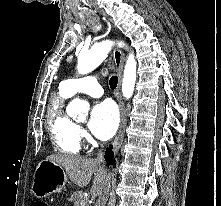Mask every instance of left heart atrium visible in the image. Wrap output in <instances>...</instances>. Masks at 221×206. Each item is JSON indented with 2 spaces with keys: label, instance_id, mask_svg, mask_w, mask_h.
<instances>
[{
  "label": "left heart atrium",
  "instance_id": "left-heart-atrium-1",
  "mask_svg": "<svg viewBox=\"0 0 221 206\" xmlns=\"http://www.w3.org/2000/svg\"><path fill=\"white\" fill-rule=\"evenodd\" d=\"M119 125V113L115 104L111 101H103L93 106L89 130L99 139H109L116 132Z\"/></svg>",
  "mask_w": 221,
  "mask_h": 206
}]
</instances>
